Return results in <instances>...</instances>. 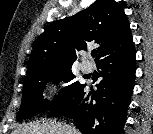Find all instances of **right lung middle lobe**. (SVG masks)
Here are the masks:
<instances>
[{
	"mask_svg": "<svg viewBox=\"0 0 153 134\" xmlns=\"http://www.w3.org/2000/svg\"><path fill=\"white\" fill-rule=\"evenodd\" d=\"M74 78L71 66L49 69L25 78L22 101L17 119H26L39 113L50 111L73 98L84 84H80L79 82L69 84L51 102L43 99L42 94L48 82L58 84L60 81L70 82Z\"/></svg>",
	"mask_w": 153,
	"mask_h": 134,
	"instance_id": "dd1d6c3e",
	"label": "right lung middle lobe"
}]
</instances>
